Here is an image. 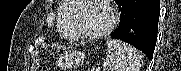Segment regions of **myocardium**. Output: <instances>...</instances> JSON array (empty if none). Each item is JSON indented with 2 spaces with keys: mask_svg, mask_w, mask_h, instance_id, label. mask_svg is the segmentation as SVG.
Returning <instances> with one entry per match:
<instances>
[{
  "mask_svg": "<svg viewBox=\"0 0 181 71\" xmlns=\"http://www.w3.org/2000/svg\"><path fill=\"white\" fill-rule=\"evenodd\" d=\"M66 1L74 3L76 5L73 12L72 19H71V23H70V26L73 31V38L77 40H97V39L105 37L115 28L117 24V14L109 1L93 0L101 4L107 10L109 14V22L107 26L101 31H98L93 34L82 33L78 29V17H79L80 11L82 7L84 6L85 2L91 1V0H66Z\"/></svg>",
  "mask_w": 181,
  "mask_h": 71,
  "instance_id": "f54148a6",
  "label": "myocardium"
}]
</instances>
